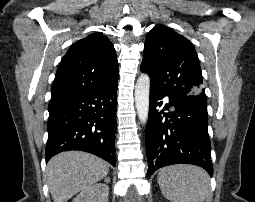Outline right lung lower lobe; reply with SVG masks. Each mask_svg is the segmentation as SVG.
Masks as SVG:
<instances>
[{"instance_id": "98d812e1", "label": "right lung lower lobe", "mask_w": 255, "mask_h": 202, "mask_svg": "<svg viewBox=\"0 0 255 202\" xmlns=\"http://www.w3.org/2000/svg\"><path fill=\"white\" fill-rule=\"evenodd\" d=\"M117 88L118 81L50 100L46 162L59 152L81 150L116 165Z\"/></svg>"}]
</instances>
